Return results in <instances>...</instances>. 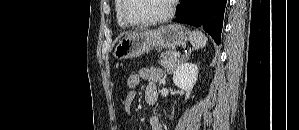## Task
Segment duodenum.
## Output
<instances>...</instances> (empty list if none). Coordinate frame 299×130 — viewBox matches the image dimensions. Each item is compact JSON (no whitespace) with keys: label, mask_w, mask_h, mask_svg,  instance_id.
Returning a JSON list of instances; mask_svg holds the SVG:
<instances>
[{"label":"duodenum","mask_w":299,"mask_h":130,"mask_svg":"<svg viewBox=\"0 0 299 130\" xmlns=\"http://www.w3.org/2000/svg\"><path fill=\"white\" fill-rule=\"evenodd\" d=\"M156 99H157V95L156 94H152V95H150V96L147 97V102L149 104H154L155 101H156Z\"/></svg>","instance_id":"410a0bca"}]
</instances>
